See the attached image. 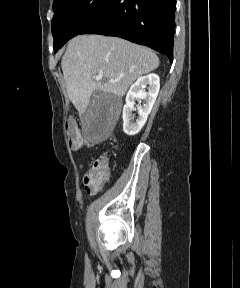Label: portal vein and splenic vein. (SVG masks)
<instances>
[{
    "mask_svg": "<svg viewBox=\"0 0 240 288\" xmlns=\"http://www.w3.org/2000/svg\"><path fill=\"white\" fill-rule=\"evenodd\" d=\"M102 75L101 74H99V75H97L96 77H95V80L96 81H99V80H101L102 79ZM110 82H116V80H110Z\"/></svg>",
    "mask_w": 240,
    "mask_h": 288,
    "instance_id": "1",
    "label": "portal vein and splenic vein"
}]
</instances>
